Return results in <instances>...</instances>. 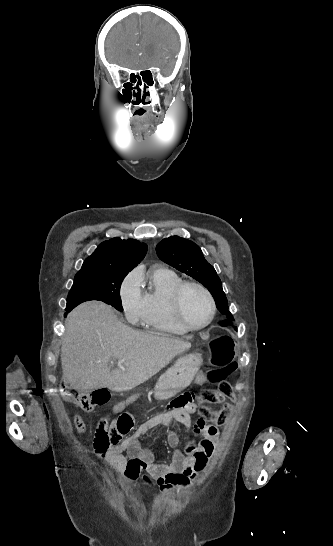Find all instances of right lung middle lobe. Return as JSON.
I'll list each match as a JSON object with an SVG mask.
<instances>
[{"instance_id":"right-lung-middle-lobe-1","label":"right lung middle lobe","mask_w":333,"mask_h":546,"mask_svg":"<svg viewBox=\"0 0 333 546\" xmlns=\"http://www.w3.org/2000/svg\"><path fill=\"white\" fill-rule=\"evenodd\" d=\"M130 270H116L108 267H95L76 275L68 294L66 311L70 312L77 305L99 300L123 311L120 299V287Z\"/></svg>"}]
</instances>
